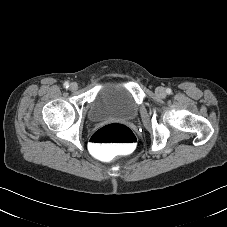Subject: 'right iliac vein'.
<instances>
[{"instance_id":"1","label":"right iliac vein","mask_w":227,"mask_h":227,"mask_svg":"<svg viewBox=\"0 0 227 227\" xmlns=\"http://www.w3.org/2000/svg\"><path fill=\"white\" fill-rule=\"evenodd\" d=\"M77 89H78L77 83L73 82V83L70 84V90H71V91H75V90H77Z\"/></svg>"}]
</instances>
